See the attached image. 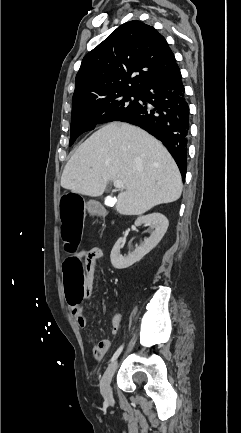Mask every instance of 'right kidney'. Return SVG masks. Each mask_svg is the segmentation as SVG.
<instances>
[{
  "instance_id": "right-kidney-1",
  "label": "right kidney",
  "mask_w": 241,
  "mask_h": 433,
  "mask_svg": "<svg viewBox=\"0 0 241 433\" xmlns=\"http://www.w3.org/2000/svg\"><path fill=\"white\" fill-rule=\"evenodd\" d=\"M134 224L135 226L147 224L150 228H153L154 231L149 238L145 239L140 246L136 247L134 252L125 257L120 254V249L123 246V238H119L110 254L111 263L116 269H125L132 266L155 248L166 233L169 222L163 214L155 212L140 216L136 219Z\"/></svg>"
}]
</instances>
